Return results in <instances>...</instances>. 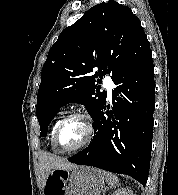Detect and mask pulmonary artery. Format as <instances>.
Masks as SVG:
<instances>
[{"mask_svg":"<svg viewBox=\"0 0 178 195\" xmlns=\"http://www.w3.org/2000/svg\"><path fill=\"white\" fill-rule=\"evenodd\" d=\"M104 85H105V87L107 89L108 95L110 96L111 95L112 88H113L112 79L110 77H106L104 79Z\"/></svg>","mask_w":178,"mask_h":195,"instance_id":"obj_1","label":"pulmonary artery"}]
</instances>
